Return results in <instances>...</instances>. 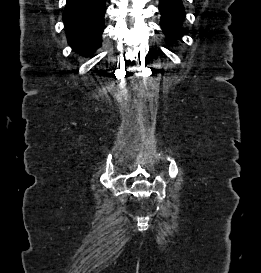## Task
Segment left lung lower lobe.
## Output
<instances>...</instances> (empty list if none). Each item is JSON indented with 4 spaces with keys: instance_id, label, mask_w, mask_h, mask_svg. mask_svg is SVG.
<instances>
[{
    "instance_id": "1",
    "label": "left lung lower lobe",
    "mask_w": 261,
    "mask_h": 273,
    "mask_svg": "<svg viewBox=\"0 0 261 273\" xmlns=\"http://www.w3.org/2000/svg\"><path fill=\"white\" fill-rule=\"evenodd\" d=\"M161 28L167 37L176 38L185 16L182 0H160Z\"/></svg>"
}]
</instances>
